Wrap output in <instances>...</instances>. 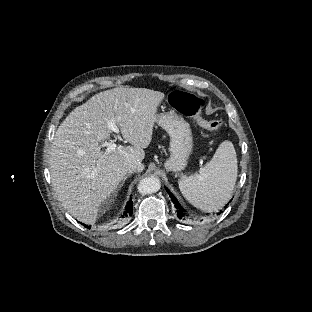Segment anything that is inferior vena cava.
<instances>
[{
    "label": "inferior vena cava",
    "mask_w": 312,
    "mask_h": 312,
    "mask_svg": "<svg viewBox=\"0 0 312 312\" xmlns=\"http://www.w3.org/2000/svg\"><path fill=\"white\" fill-rule=\"evenodd\" d=\"M144 169V165L140 161H133L128 164L127 166V172L133 173V172H141Z\"/></svg>",
    "instance_id": "1"
}]
</instances>
